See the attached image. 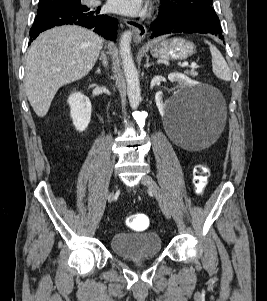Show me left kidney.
<instances>
[{
	"label": "left kidney",
	"instance_id": "left-kidney-1",
	"mask_svg": "<svg viewBox=\"0 0 267 301\" xmlns=\"http://www.w3.org/2000/svg\"><path fill=\"white\" fill-rule=\"evenodd\" d=\"M168 79L171 82H179L181 84H183L184 86H195L197 85L194 81H192L191 79H189L186 75L182 74V73H170L168 75ZM156 104L160 109L164 108V103L163 100L160 96L156 97Z\"/></svg>",
	"mask_w": 267,
	"mask_h": 301
}]
</instances>
